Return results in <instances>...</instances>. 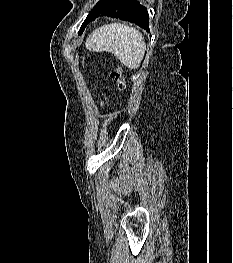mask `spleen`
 <instances>
[{"instance_id": "3e777b00", "label": "spleen", "mask_w": 233, "mask_h": 263, "mask_svg": "<svg viewBox=\"0 0 233 263\" xmlns=\"http://www.w3.org/2000/svg\"><path fill=\"white\" fill-rule=\"evenodd\" d=\"M86 48L93 52H109L129 69H137L143 60L146 43L137 29L112 23L94 30L86 40Z\"/></svg>"}]
</instances>
